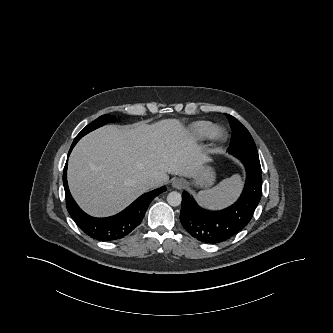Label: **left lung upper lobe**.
Wrapping results in <instances>:
<instances>
[{
  "instance_id": "5c2ea615",
  "label": "left lung upper lobe",
  "mask_w": 333,
  "mask_h": 333,
  "mask_svg": "<svg viewBox=\"0 0 333 333\" xmlns=\"http://www.w3.org/2000/svg\"><path fill=\"white\" fill-rule=\"evenodd\" d=\"M232 129V141L229 146V153L242 161L250 162L259 168L260 161L255 142L249 131L233 116L226 114Z\"/></svg>"
}]
</instances>
